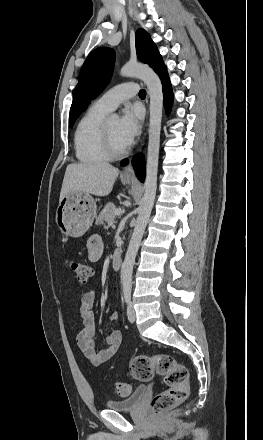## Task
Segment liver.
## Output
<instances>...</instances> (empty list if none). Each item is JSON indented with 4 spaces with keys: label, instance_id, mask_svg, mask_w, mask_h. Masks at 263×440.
I'll use <instances>...</instances> for the list:
<instances>
[{
    "label": "liver",
    "instance_id": "6515ba94",
    "mask_svg": "<svg viewBox=\"0 0 263 440\" xmlns=\"http://www.w3.org/2000/svg\"><path fill=\"white\" fill-rule=\"evenodd\" d=\"M118 175L119 169L106 162L71 163L65 171L60 199L73 192L107 196Z\"/></svg>",
    "mask_w": 263,
    "mask_h": 440
}]
</instances>
